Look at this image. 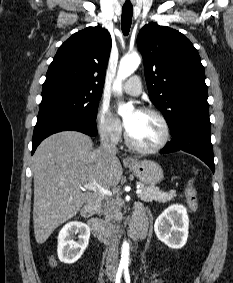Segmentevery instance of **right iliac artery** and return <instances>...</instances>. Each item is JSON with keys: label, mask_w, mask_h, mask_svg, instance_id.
I'll return each instance as SVG.
<instances>
[{"label": "right iliac artery", "mask_w": 233, "mask_h": 283, "mask_svg": "<svg viewBox=\"0 0 233 283\" xmlns=\"http://www.w3.org/2000/svg\"><path fill=\"white\" fill-rule=\"evenodd\" d=\"M123 266H119L117 273H116V278H115V283H120L121 282V277H122V272H123Z\"/></svg>", "instance_id": "82829eb1"}]
</instances>
